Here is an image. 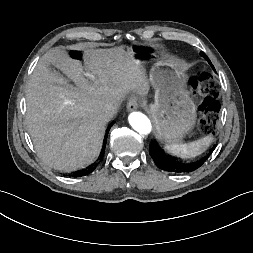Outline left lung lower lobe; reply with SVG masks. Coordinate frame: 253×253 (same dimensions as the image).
<instances>
[{"instance_id":"0a47b994","label":"left lung lower lobe","mask_w":253,"mask_h":253,"mask_svg":"<svg viewBox=\"0 0 253 253\" xmlns=\"http://www.w3.org/2000/svg\"><path fill=\"white\" fill-rule=\"evenodd\" d=\"M201 55L208 60L209 64L214 69V66L210 62V60L207 58V56L203 53ZM215 70V69H214ZM149 152L151 157L153 158L155 164L158 168L168 171V172H174V173H189L193 172L196 169H198L200 166L203 165V163L207 160L209 157L206 156L200 161L192 162V163H180L173 159L168 158L163 153H161L153 143L150 144Z\"/></svg>"}]
</instances>
